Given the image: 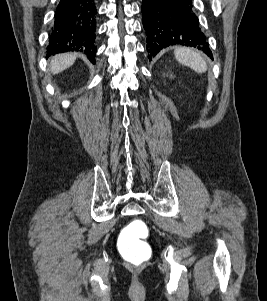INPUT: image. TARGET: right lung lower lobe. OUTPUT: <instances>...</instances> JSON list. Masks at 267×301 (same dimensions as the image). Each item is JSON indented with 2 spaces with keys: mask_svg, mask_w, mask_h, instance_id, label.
Listing matches in <instances>:
<instances>
[{
  "mask_svg": "<svg viewBox=\"0 0 267 301\" xmlns=\"http://www.w3.org/2000/svg\"><path fill=\"white\" fill-rule=\"evenodd\" d=\"M95 0H60L49 35L47 57L60 52L82 51L95 63Z\"/></svg>",
  "mask_w": 267,
  "mask_h": 301,
  "instance_id": "right-lung-lower-lobe-1",
  "label": "right lung lower lobe"
}]
</instances>
